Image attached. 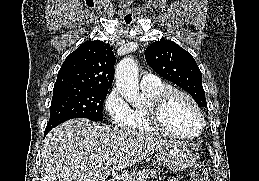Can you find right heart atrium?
<instances>
[{
	"instance_id": "obj_1",
	"label": "right heart atrium",
	"mask_w": 259,
	"mask_h": 181,
	"mask_svg": "<svg viewBox=\"0 0 259 181\" xmlns=\"http://www.w3.org/2000/svg\"><path fill=\"white\" fill-rule=\"evenodd\" d=\"M103 106L112 126L117 128L128 126L131 108L116 88L107 94Z\"/></svg>"
}]
</instances>
